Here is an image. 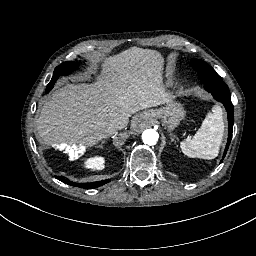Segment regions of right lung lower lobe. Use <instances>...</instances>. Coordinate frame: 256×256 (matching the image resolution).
<instances>
[{
    "mask_svg": "<svg viewBox=\"0 0 256 256\" xmlns=\"http://www.w3.org/2000/svg\"><path fill=\"white\" fill-rule=\"evenodd\" d=\"M56 178L68 185L81 187V188H85V189H93V188L102 186L110 181L108 179V180H103V181H98V182H93V183H74V182L68 181L64 177L56 176Z\"/></svg>",
    "mask_w": 256,
    "mask_h": 256,
    "instance_id": "right-lung-lower-lobe-1",
    "label": "right lung lower lobe"
}]
</instances>
